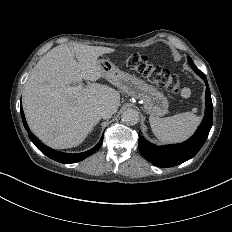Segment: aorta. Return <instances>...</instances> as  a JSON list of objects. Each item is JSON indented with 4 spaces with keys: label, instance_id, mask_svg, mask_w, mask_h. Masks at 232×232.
<instances>
[{
    "label": "aorta",
    "instance_id": "obj_1",
    "mask_svg": "<svg viewBox=\"0 0 232 232\" xmlns=\"http://www.w3.org/2000/svg\"><path fill=\"white\" fill-rule=\"evenodd\" d=\"M122 120L126 124L135 125L139 122L140 117L135 109L129 108L123 112Z\"/></svg>",
    "mask_w": 232,
    "mask_h": 232
}]
</instances>
